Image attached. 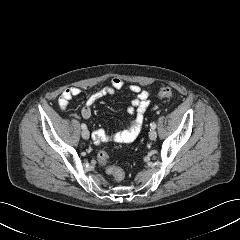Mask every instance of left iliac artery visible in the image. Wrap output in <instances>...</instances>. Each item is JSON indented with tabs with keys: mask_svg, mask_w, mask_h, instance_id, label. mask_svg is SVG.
I'll return each instance as SVG.
<instances>
[{
	"mask_svg": "<svg viewBox=\"0 0 240 240\" xmlns=\"http://www.w3.org/2000/svg\"><path fill=\"white\" fill-rule=\"evenodd\" d=\"M150 126H151V129H155L156 128V124L154 123V122H152L151 124H150Z\"/></svg>",
	"mask_w": 240,
	"mask_h": 240,
	"instance_id": "44dca946",
	"label": "left iliac artery"
}]
</instances>
